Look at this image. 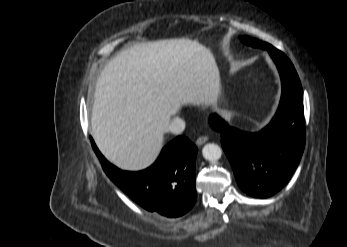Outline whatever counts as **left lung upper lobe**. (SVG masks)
Segmentation results:
<instances>
[{"label": "left lung upper lobe", "mask_w": 347, "mask_h": 247, "mask_svg": "<svg viewBox=\"0 0 347 247\" xmlns=\"http://www.w3.org/2000/svg\"><path fill=\"white\" fill-rule=\"evenodd\" d=\"M241 40L247 45L267 49L268 51H271L274 48L273 46H271L268 43L261 42L259 40H256V39H253L250 37H241Z\"/></svg>", "instance_id": "left-lung-upper-lobe-1"}]
</instances>
